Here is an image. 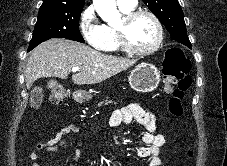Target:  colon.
Returning a JSON list of instances; mask_svg holds the SVG:
<instances>
[{
	"label": "colon",
	"instance_id": "1",
	"mask_svg": "<svg viewBox=\"0 0 227 166\" xmlns=\"http://www.w3.org/2000/svg\"><path fill=\"white\" fill-rule=\"evenodd\" d=\"M189 72L190 64L184 52L179 48L169 49L164 63V86L167 92H171L172 85L178 84L169 100V112L176 117L183 114L182 98L192 82ZM49 91L54 104L61 103L68 94L66 87L55 80L50 82Z\"/></svg>",
	"mask_w": 227,
	"mask_h": 166
}]
</instances>
